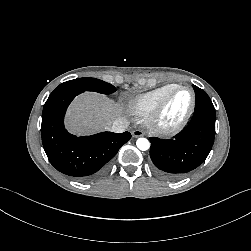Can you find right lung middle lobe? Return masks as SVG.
Listing matches in <instances>:
<instances>
[{
  "label": "right lung middle lobe",
  "mask_w": 251,
  "mask_h": 251,
  "mask_svg": "<svg viewBox=\"0 0 251 251\" xmlns=\"http://www.w3.org/2000/svg\"><path fill=\"white\" fill-rule=\"evenodd\" d=\"M64 91H76L79 93L95 91L102 94H111L115 91V87L96 78H78L60 84L51 94Z\"/></svg>",
  "instance_id": "obj_1"
}]
</instances>
